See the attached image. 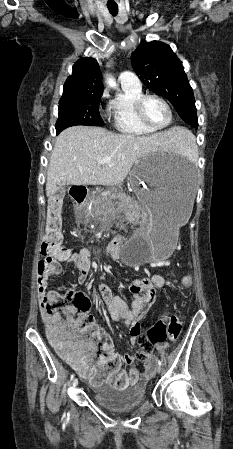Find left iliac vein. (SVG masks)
Here are the masks:
<instances>
[{
	"mask_svg": "<svg viewBox=\"0 0 233 449\" xmlns=\"http://www.w3.org/2000/svg\"><path fill=\"white\" fill-rule=\"evenodd\" d=\"M157 373H161L162 372V367L160 365H157L155 368Z\"/></svg>",
	"mask_w": 233,
	"mask_h": 449,
	"instance_id": "1",
	"label": "left iliac vein"
}]
</instances>
